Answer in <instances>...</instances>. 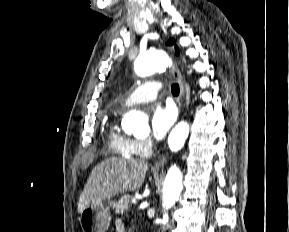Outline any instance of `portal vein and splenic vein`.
I'll return each instance as SVG.
<instances>
[{
    "label": "portal vein and splenic vein",
    "instance_id": "portal-vein-and-splenic-vein-1",
    "mask_svg": "<svg viewBox=\"0 0 289 232\" xmlns=\"http://www.w3.org/2000/svg\"><path fill=\"white\" fill-rule=\"evenodd\" d=\"M131 203H132V204H136V199H134V198L131 199Z\"/></svg>",
    "mask_w": 289,
    "mask_h": 232
}]
</instances>
